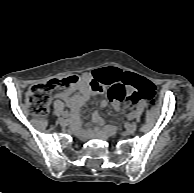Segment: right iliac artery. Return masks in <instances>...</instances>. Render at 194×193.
I'll list each match as a JSON object with an SVG mask.
<instances>
[{"label": "right iliac artery", "instance_id": "82829eb1", "mask_svg": "<svg viewBox=\"0 0 194 193\" xmlns=\"http://www.w3.org/2000/svg\"><path fill=\"white\" fill-rule=\"evenodd\" d=\"M65 116L71 117V114L65 113ZM73 116H74V118H76V114H74Z\"/></svg>", "mask_w": 194, "mask_h": 193}]
</instances>
